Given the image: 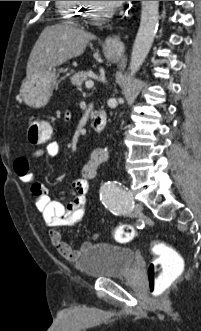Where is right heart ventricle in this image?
I'll return each mask as SVG.
<instances>
[{"label":"right heart ventricle","instance_id":"e07e8e85","mask_svg":"<svg viewBox=\"0 0 201 331\" xmlns=\"http://www.w3.org/2000/svg\"><path fill=\"white\" fill-rule=\"evenodd\" d=\"M56 7L63 20L78 24L84 11V1H56Z\"/></svg>","mask_w":201,"mask_h":331}]
</instances>
